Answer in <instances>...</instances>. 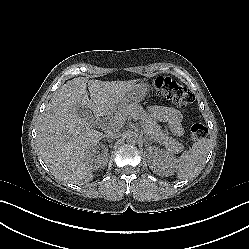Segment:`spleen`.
I'll return each instance as SVG.
<instances>
[{"mask_svg":"<svg viewBox=\"0 0 249 249\" xmlns=\"http://www.w3.org/2000/svg\"><path fill=\"white\" fill-rule=\"evenodd\" d=\"M209 151L210 142L204 138L194 143L192 148L185 151L181 156L177 157L174 154L166 153L162 162L166 167L176 168L178 171L193 172L202 168Z\"/></svg>","mask_w":249,"mask_h":249,"instance_id":"obj_1","label":"spleen"}]
</instances>
